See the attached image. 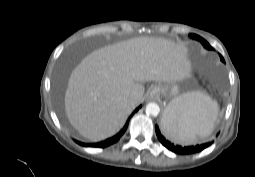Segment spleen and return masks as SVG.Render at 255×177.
Wrapping results in <instances>:
<instances>
[{"label": "spleen", "instance_id": "1", "mask_svg": "<svg viewBox=\"0 0 255 177\" xmlns=\"http://www.w3.org/2000/svg\"><path fill=\"white\" fill-rule=\"evenodd\" d=\"M169 105L162 129L171 141L190 145L198 136L206 137L213 131L219 107L209 95L190 92L176 97Z\"/></svg>", "mask_w": 255, "mask_h": 177}]
</instances>
